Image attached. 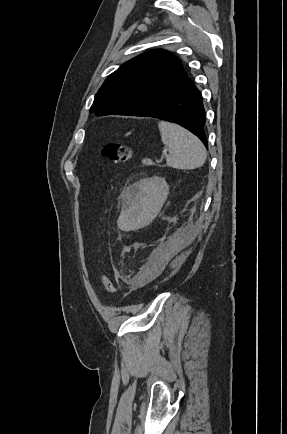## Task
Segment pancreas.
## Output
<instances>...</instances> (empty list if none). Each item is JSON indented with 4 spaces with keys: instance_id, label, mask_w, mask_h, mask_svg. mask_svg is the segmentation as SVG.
Here are the masks:
<instances>
[{
    "instance_id": "cf45deb5",
    "label": "pancreas",
    "mask_w": 287,
    "mask_h": 434,
    "mask_svg": "<svg viewBox=\"0 0 287 434\" xmlns=\"http://www.w3.org/2000/svg\"><path fill=\"white\" fill-rule=\"evenodd\" d=\"M142 163L144 164V165H154V163H153V161L151 160V159H143L142 160Z\"/></svg>"
}]
</instances>
